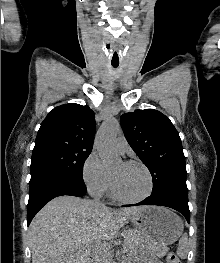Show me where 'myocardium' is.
<instances>
[{
	"label": "myocardium",
	"mask_w": 220,
	"mask_h": 263,
	"mask_svg": "<svg viewBox=\"0 0 220 263\" xmlns=\"http://www.w3.org/2000/svg\"><path fill=\"white\" fill-rule=\"evenodd\" d=\"M123 163L127 164V165H137V166L142 167L148 176L149 187H148L147 192L140 197H137V198L124 197L123 195H121L119 193V191L116 187L115 179H114L113 175L111 174V190H112L113 196L117 200L124 202V203H128V204L140 203V202L146 200L148 197H150V195L152 194L153 189H154V178H153L152 172L150 171V169L148 168L147 165H145L143 162L138 161V160H126Z\"/></svg>",
	"instance_id": "myocardium-1"
}]
</instances>
